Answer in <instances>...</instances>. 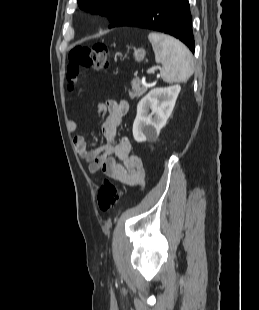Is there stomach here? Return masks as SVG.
I'll return each instance as SVG.
<instances>
[{
    "label": "stomach",
    "mask_w": 259,
    "mask_h": 310,
    "mask_svg": "<svg viewBox=\"0 0 259 310\" xmlns=\"http://www.w3.org/2000/svg\"><path fill=\"white\" fill-rule=\"evenodd\" d=\"M145 54H146V52L143 48H139V49L134 50V58L138 62H140L144 59Z\"/></svg>",
    "instance_id": "1"
}]
</instances>
